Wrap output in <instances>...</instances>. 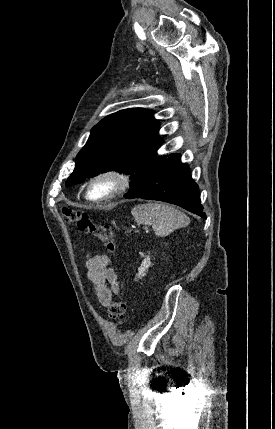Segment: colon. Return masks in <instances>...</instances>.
Instances as JSON below:
<instances>
[{
  "instance_id": "5ec220e1",
  "label": "colon",
  "mask_w": 275,
  "mask_h": 429,
  "mask_svg": "<svg viewBox=\"0 0 275 429\" xmlns=\"http://www.w3.org/2000/svg\"><path fill=\"white\" fill-rule=\"evenodd\" d=\"M63 215L66 222L74 223L81 232L96 237L109 252L115 250L116 242L111 225L95 223L87 214L70 208H64ZM126 309V303L118 299L108 306V315L112 320L120 322L125 318Z\"/></svg>"
}]
</instances>
